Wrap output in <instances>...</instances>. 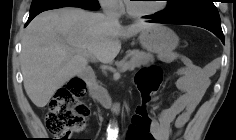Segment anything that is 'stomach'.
Returning <instances> with one entry per match:
<instances>
[{
	"label": "stomach",
	"mask_w": 236,
	"mask_h": 140,
	"mask_svg": "<svg viewBox=\"0 0 236 140\" xmlns=\"http://www.w3.org/2000/svg\"><path fill=\"white\" fill-rule=\"evenodd\" d=\"M139 41L147 51L158 55H165L176 49L179 38L168 27L155 24L141 31Z\"/></svg>",
	"instance_id": "0dacf381"
}]
</instances>
